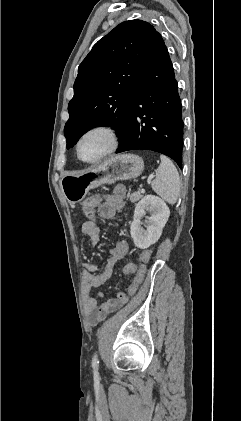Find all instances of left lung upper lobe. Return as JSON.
<instances>
[{
  "instance_id": "1",
  "label": "left lung upper lobe",
  "mask_w": 241,
  "mask_h": 421,
  "mask_svg": "<svg viewBox=\"0 0 241 421\" xmlns=\"http://www.w3.org/2000/svg\"><path fill=\"white\" fill-rule=\"evenodd\" d=\"M159 33L148 22L120 23L82 61L64 128L67 149L94 127L126 132L137 83Z\"/></svg>"
}]
</instances>
